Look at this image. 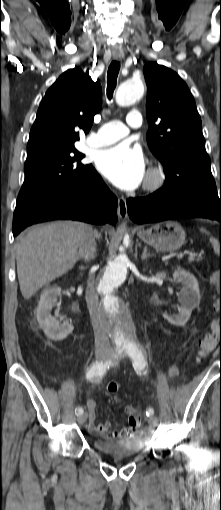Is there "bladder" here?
Returning <instances> with one entry per match:
<instances>
[{"instance_id":"obj_1","label":"bladder","mask_w":221,"mask_h":510,"mask_svg":"<svg viewBox=\"0 0 221 510\" xmlns=\"http://www.w3.org/2000/svg\"><path fill=\"white\" fill-rule=\"evenodd\" d=\"M93 446L98 452L117 458L135 456L145 449L144 442L138 437L129 440L117 438L93 439Z\"/></svg>"}]
</instances>
